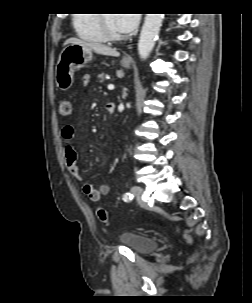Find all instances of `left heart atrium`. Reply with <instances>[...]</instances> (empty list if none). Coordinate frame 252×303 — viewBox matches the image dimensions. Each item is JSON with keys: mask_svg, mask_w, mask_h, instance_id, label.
Here are the masks:
<instances>
[{"mask_svg": "<svg viewBox=\"0 0 252 303\" xmlns=\"http://www.w3.org/2000/svg\"><path fill=\"white\" fill-rule=\"evenodd\" d=\"M115 21L122 32H130L137 27L139 14H115Z\"/></svg>", "mask_w": 252, "mask_h": 303, "instance_id": "left-heart-atrium-1", "label": "left heart atrium"}]
</instances>
